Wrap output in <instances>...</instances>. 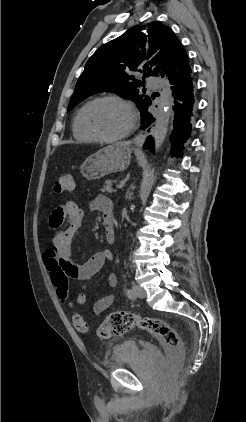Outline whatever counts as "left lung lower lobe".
<instances>
[{
	"label": "left lung lower lobe",
	"instance_id": "1",
	"mask_svg": "<svg viewBox=\"0 0 246 422\" xmlns=\"http://www.w3.org/2000/svg\"><path fill=\"white\" fill-rule=\"evenodd\" d=\"M189 66V57L182 45L179 46L175 56L169 63L165 73L173 85L172 95L174 100L173 131L170 135L172 155H181L184 143L189 139L192 130V117L196 110V97L193 78ZM151 103L149 104V106ZM148 107L141 112L142 129L147 128L154 122V117L148 112ZM154 152L152 136L146 138L143 146Z\"/></svg>",
	"mask_w": 246,
	"mask_h": 422
}]
</instances>
